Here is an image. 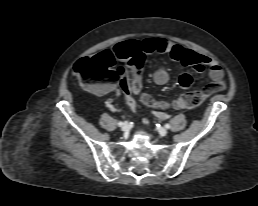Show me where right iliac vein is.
Listing matches in <instances>:
<instances>
[{
	"instance_id": "63e3f726",
	"label": "right iliac vein",
	"mask_w": 258,
	"mask_h": 206,
	"mask_svg": "<svg viewBox=\"0 0 258 206\" xmlns=\"http://www.w3.org/2000/svg\"><path fill=\"white\" fill-rule=\"evenodd\" d=\"M128 129H129L128 123L127 122L123 123V125L121 126V130L122 131H128Z\"/></svg>"
}]
</instances>
